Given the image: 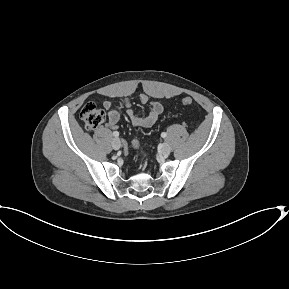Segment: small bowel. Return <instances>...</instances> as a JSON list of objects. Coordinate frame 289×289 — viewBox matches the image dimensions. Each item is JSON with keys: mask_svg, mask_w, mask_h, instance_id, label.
<instances>
[{"mask_svg": "<svg viewBox=\"0 0 289 289\" xmlns=\"http://www.w3.org/2000/svg\"><path fill=\"white\" fill-rule=\"evenodd\" d=\"M143 105H149V113L146 116L137 115L132 109L128 110V116L131 123L135 127L148 128L156 123L159 116L164 111L163 105L158 101H150L148 96L142 94L139 98ZM123 105L130 107L131 103L128 100L123 101ZM104 108L108 112V125L114 128L120 120V114L115 109L114 104L111 101H105L103 103Z\"/></svg>", "mask_w": 289, "mask_h": 289, "instance_id": "small-bowel-1", "label": "small bowel"}]
</instances>
